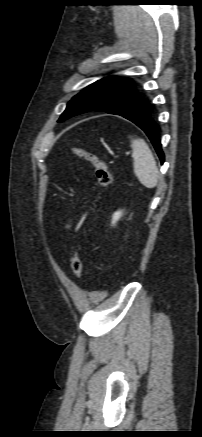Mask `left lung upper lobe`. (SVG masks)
I'll use <instances>...</instances> for the list:
<instances>
[{"label":"left lung upper lobe","instance_id":"1","mask_svg":"<svg viewBox=\"0 0 202 437\" xmlns=\"http://www.w3.org/2000/svg\"><path fill=\"white\" fill-rule=\"evenodd\" d=\"M138 97L139 94L130 79L104 77L75 95L58 122L88 111L107 112Z\"/></svg>","mask_w":202,"mask_h":437}]
</instances>
